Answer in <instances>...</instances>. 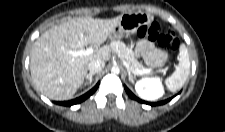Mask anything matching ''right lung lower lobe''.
I'll use <instances>...</instances> for the list:
<instances>
[{
  "instance_id": "1",
  "label": "right lung lower lobe",
  "mask_w": 225,
  "mask_h": 132,
  "mask_svg": "<svg viewBox=\"0 0 225 132\" xmlns=\"http://www.w3.org/2000/svg\"><path fill=\"white\" fill-rule=\"evenodd\" d=\"M98 86H99V83L93 89H91L89 92H87L86 94H84V95H82V96H80V97H78L74 100L57 102V104L64 105V106H71V105H74V104H78V103L84 101L85 99H87L88 97H90L96 91Z\"/></svg>"
}]
</instances>
